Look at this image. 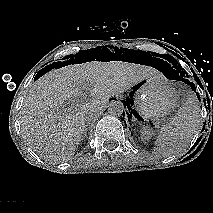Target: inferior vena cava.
Instances as JSON below:
<instances>
[{"label": "inferior vena cava", "mask_w": 213, "mask_h": 213, "mask_svg": "<svg viewBox=\"0 0 213 213\" xmlns=\"http://www.w3.org/2000/svg\"><path fill=\"white\" fill-rule=\"evenodd\" d=\"M93 115H94L93 112L89 113L87 115V121H89L90 119H92Z\"/></svg>", "instance_id": "1"}]
</instances>
